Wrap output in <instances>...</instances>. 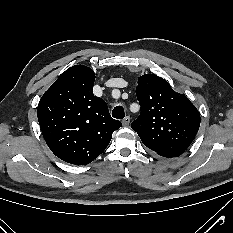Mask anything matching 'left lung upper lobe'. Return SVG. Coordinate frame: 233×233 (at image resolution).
I'll list each match as a JSON object with an SVG mask.
<instances>
[{
  "mask_svg": "<svg viewBox=\"0 0 233 233\" xmlns=\"http://www.w3.org/2000/svg\"><path fill=\"white\" fill-rule=\"evenodd\" d=\"M136 95L141 112L131 126L143 144L163 157L180 156L199 130L196 107L155 74L138 78Z\"/></svg>",
  "mask_w": 233,
  "mask_h": 233,
  "instance_id": "obj_1",
  "label": "left lung upper lobe"
}]
</instances>
